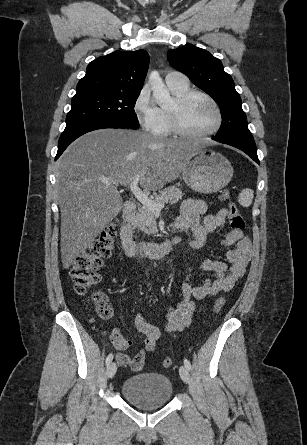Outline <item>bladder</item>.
Instances as JSON below:
<instances>
[{"instance_id":"31cf9c89","label":"bladder","mask_w":307,"mask_h":445,"mask_svg":"<svg viewBox=\"0 0 307 445\" xmlns=\"http://www.w3.org/2000/svg\"><path fill=\"white\" fill-rule=\"evenodd\" d=\"M123 397L133 406L152 410L166 406L173 393L170 379L161 373H140L128 377L122 384Z\"/></svg>"}]
</instances>
